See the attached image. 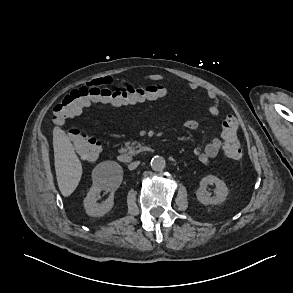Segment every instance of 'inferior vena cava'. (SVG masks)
Wrapping results in <instances>:
<instances>
[{"mask_svg":"<svg viewBox=\"0 0 293 293\" xmlns=\"http://www.w3.org/2000/svg\"><path fill=\"white\" fill-rule=\"evenodd\" d=\"M140 164L139 161H135V162H132L131 164L128 165V168L129 170H134L137 168V166Z\"/></svg>","mask_w":293,"mask_h":293,"instance_id":"obj_1","label":"inferior vena cava"}]
</instances>
